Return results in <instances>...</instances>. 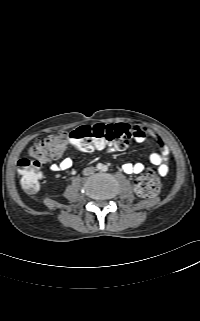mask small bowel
<instances>
[{"mask_svg":"<svg viewBox=\"0 0 200 321\" xmlns=\"http://www.w3.org/2000/svg\"><path fill=\"white\" fill-rule=\"evenodd\" d=\"M118 125H124L127 126L131 133H132V138L137 142V143H143L145 141H151L155 145V149L151 152L149 156L150 162L157 167V172L161 176H165L168 171L169 167L166 163L168 156H169V148L166 144V142L163 140L162 137L159 135L155 134L152 130L140 126V125H126L123 123H119L116 125L112 126H118ZM112 148H115L113 145H109ZM64 152V148L61 150V152L52 159L56 160L59 159ZM72 167V160L70 158H63L60 160L59 163H54L51 165L50 169L53 172H58V171H66L69 170ZM123 171L126 174H140L144 171L145 166L141 162H135V163H125L122 166Z\"/></svg>","mask_w":200,"mask_h":321,"instance_id":"c3829d8e","label":"small bowel"}]
</instances>
